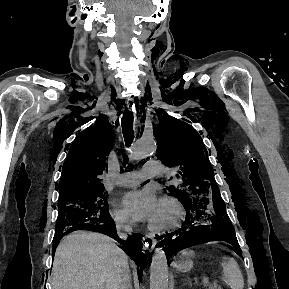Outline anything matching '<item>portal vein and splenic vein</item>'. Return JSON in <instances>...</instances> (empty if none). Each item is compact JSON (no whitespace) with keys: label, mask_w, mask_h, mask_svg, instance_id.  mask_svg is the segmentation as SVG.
I'll use <instances>...</instances> for the list:
<instances>
[{"label":"portal vein and splenic vein","mask_w":289,"mask_h":289,"mask_svg":"<svg viewBox=\"0 0 289 289\" xmlns=\"http://www.w3.org/2000/svg\"><path fill=\"white\" fill-rule=\"evenodd\" d=\"M202 284H203L204 286L208 285V284H209V278H207V277L203 278V279H202Z\"/></svg>","instance_id":"obj_1"}]
</instances>
